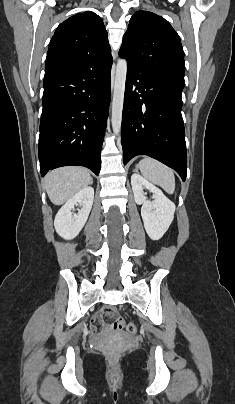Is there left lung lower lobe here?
<instances>
[{
  "label": "left lung lower lobe",
  "instance_id": "0a47b994",
  "mask_svg": "<svg viewBox=\"0 0 235 404\" xmlns=\"http://www.w3.org/2000/svg\"><path fill=\"white\" fill-rule=\"evenodd\" d=\"M182 87L128 65L122 115L123 162L147 155L186 179Z\"/></svg>",
  "mask_w": 235,
  "mask_h": 404
}]
</instances>
